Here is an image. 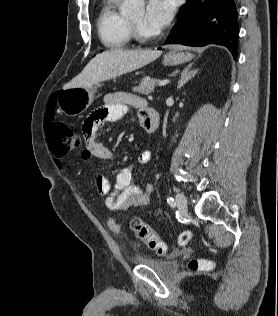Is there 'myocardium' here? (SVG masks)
<instances>
[{
    "mask_svg": "<svg viewBox=\"0 0 278 316\" xmlns=\"http://www.w3.org/2000/svg\"><path fill=\"white\" fill-rule=\"evenodd\" d=\"M129 22H130V27L132 31V36L139 42H142V43L151 42L160 36L159 32H154V33L145 32L144 29L139 24L132 21L131 19L129 20Z\"/></svg>",
    "mask_w": 278,
    "mask_h": 316,
    "instance_id": "obj_1",
    "label": "myocardium"
}]
</instances>
